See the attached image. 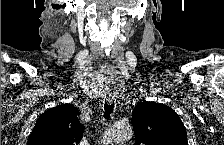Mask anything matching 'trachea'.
<instances>
[{"label": "trachea", "instance_id": "trachea-1", "mask_svg": "<svg viewBox=\"0 0 224 145\" xmlns=\"http://www.w3.org/2000/svg\"><path fill=\"white\" fill-rule=\"evenodd\" d=\"M113 108H114L113 101H111V102L105 101V105H104V109H105L104 117L106 119H108L109 116H110V114L113 112Z\"/></svg>", "mask_w": 224, "mask_h": 145}]
</instances>
